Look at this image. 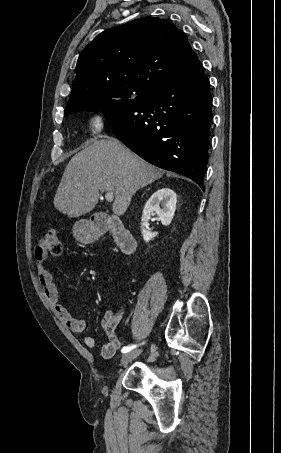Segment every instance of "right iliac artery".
<instances>
[{
  "label": "right iliac artery",
  "mask_w": 281,
  "mask_h": 453,
  "mask_svg": "<svg viewBox=\"0 0 281 453\" xmlns=\"http://www.w3.org/2000/svg\"><path fill=\"white\" fill-rule=\"evenodd\" d=\"M136 345H132L130 347H123V349L121 350L123 353H127L129 351H131L133 348H135Z\"/></svg>",
  "instance_id": "right-iliac-artery-1"
}]
</instances>
